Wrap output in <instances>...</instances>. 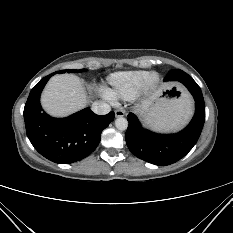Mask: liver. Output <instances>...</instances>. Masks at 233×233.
Returning <instances> with one entry per match:
<instances>
[{"label":"liver","mask_w":233,"mask_h":233,"mask_svg":"<svg viewBox=\"0 0 233 233\" xmlns=\"http://www.w3.org/2000/svg\"><path fill=\"white\" fill-rule=\"evenodd\" d=\"M159 91L142 101L140 108L142 111L149 109ZM87 103L88 92L86 87L80 78L74 74L53 76L46 84L41 96L43 108L54 117H65L73 114L83 109Z\"/></svg>","instance_id":"liver-1"}]
</instances>
